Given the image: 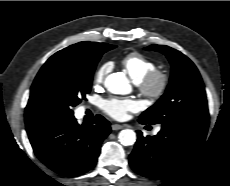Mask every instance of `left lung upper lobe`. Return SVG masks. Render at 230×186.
I'll return each mask as SVG.
<instances>
[{
  "mask_svg": "<svg viewBox=\"0 0 230 186\" xmlns=\"http://www.w3.org/2000/svg\"><path fill=\"white\" fill-rule=\"evenodd\" d=\"M145 49L165 54L172 65V72L165 94L140 115L139 121L167 125L183 120H208L204 84L193 62L165 45H150Z\"/></svg>",
  "mask_w": 230,
  "mask_h": 186,
  "instance_id": "1",
  "label": "left lung upper lobe"
}]
</instances>
